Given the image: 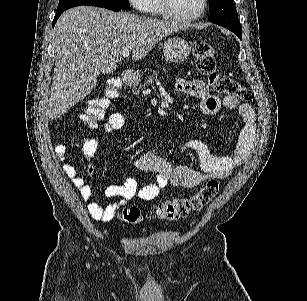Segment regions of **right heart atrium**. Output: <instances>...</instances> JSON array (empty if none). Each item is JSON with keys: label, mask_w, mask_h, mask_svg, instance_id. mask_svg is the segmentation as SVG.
<instances>
[{"label": "right heart atrium", "mask_w": 307, "mask_h": 301, "mask_svg": "<svg viewBox=\"0 0 307 301\" xmlns=\"http://www.w3.org/2000/svg\"><path fill=\"white\" fill-rule=\"evenodd\" d=\"M136 11H152L153 5L150 4L149 0H131Z\"/></svg>", "instance_id": "right-heart-atrium-1"}]
</instances>
